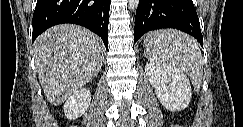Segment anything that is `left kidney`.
<instances>
[{
	"label": "left kidney",
	"mask_w": 243,
	"mask_h": 127,
	"mask_svg": "<svg viewBox=\"0 0 243 127\" xmlns=\"http://www.w3.org/2000/svg\"><path fill=\"white\" fill-rule=\"evenodd\" d=\"M146 76L155 88L161 104L171 112L184 110L191 99V86L184 72L163 68L153 63L145 66Z\"/></svg>",
	"instance_id": "obj_1"
}]
</instances>
